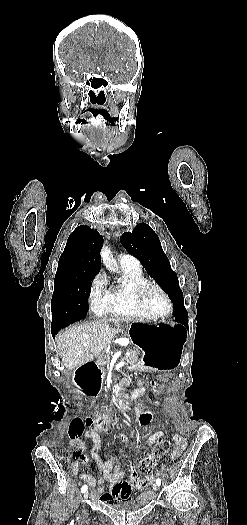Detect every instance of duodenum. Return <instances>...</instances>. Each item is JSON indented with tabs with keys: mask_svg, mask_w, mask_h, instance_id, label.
I'll return each mask as SVG.
<instances>
[{
	"mask_svg": "<svg viewBox=\"0 0 247 525\" xmlns=\"http://www.w3.org/2000/svg\"><path fill=\"white\" fill-rule=\"evenodd\" d=\"M103 375L104 372L97 363L88 361L80 365L75 371L74 382L84 394L93 396L96 395L100 389ZM138 394L139 392L123 386H117L113 390L114 399H132Z\"/></svg>",
	"mask_w": 247,
	"mask_h": 525,
	"instance_id": "410a0bca",
	"label": "duodenum"
}]
</instances>
